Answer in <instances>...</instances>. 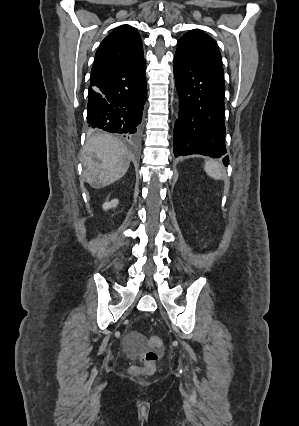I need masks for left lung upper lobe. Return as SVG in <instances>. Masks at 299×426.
<instances>
[{
	"instance_id": "5c2ea615",
	"label": "left lung upper lobe",
	"mask_w": 299,
	"mask_h": 426,
	"mask_svg": "<svg viewBox=\"0 0 299 426\" xmlns=\"http://www.w3.org/2000/svg\"><path fill=\"white\" fill-rule=\"evenodd\" d=\"M180 49L188 56L203 60L217 74L223 77L221 54L216 41L199 29H193L185 33L177 42Z\"/></svg>"
}]
</instances>
